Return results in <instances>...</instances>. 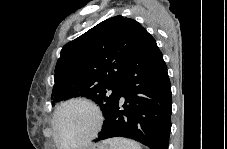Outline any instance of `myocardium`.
Returning <instances> with one entry per match:
<instances>
[{"label": "myocardium", "instance_id": "1", "mask_svg": "<svg viewBox=\"0 0 227 149\" xmlns=\"http://www.w3.org/2000/svg\"><path fill=\"white\" fill-rule=\"evenodd\" d=\"M73 104H79L88 107L93 115H94V126L92 128V131L81 141L72 143V144H61L58 135H57V118L59 113L66 107L73 105ZM52 135H53V140L56 146H63V147H82L88 145L92 140H94L98 133L101 130L102 124H103V114L101 109L92 101L85 99V98H72L69 100L64 101L61 103L55 110L53 117H52Z\"/></svg>", "mask_w": 227, "mask_h": 149}]
</instances>
